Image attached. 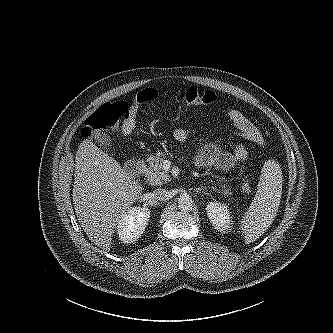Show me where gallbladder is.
I'll list each match as a JSON object with an SVG mask.
<instances>
[{
	"mask_svg": "<svg viewBox=\"0 0 333 333\" xmlns=\"http://www.w3.org/2000/svg\"><path fill=\"white\" fill-rule=\"evenodd\" d=\"M98 142L102 146H111V138L107 133H103L101 137L98 139Z\"/></svg>",
	"mask_w": 333,
	"mask_h": 333,
	"instance_id": "obj_1",
	"label": "gallbladder"
}]
</instances>
